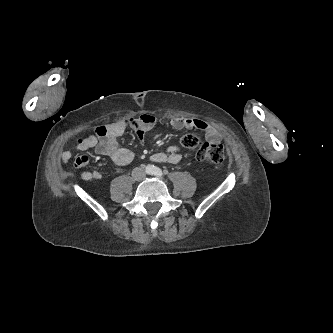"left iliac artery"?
Listing matches in <instances>:
<instances>
[{"label": "left iliac artery", "mask_w": 333, "mask_h": 333, "mask_svg": "<svg viewBox=\"0 0 333 333\" xmlns=\"http://www.w3.org/2000/svg\"><path fill=\"white\" fill-rule=\"evenodd\" d=\"M153 173H154V175H156L158 177H161L163 175L162 170L160 168H157V167L154 168V172Z\"/></svg>", "instance_id": "obj_1"}]
</instances>
